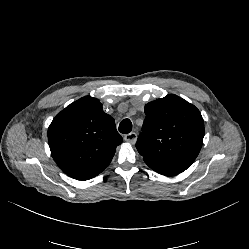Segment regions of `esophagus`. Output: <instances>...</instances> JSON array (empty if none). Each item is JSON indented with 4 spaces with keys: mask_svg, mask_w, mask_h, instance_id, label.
I'll list each match as a JSON object with an SVG mask.
<instances>
[{
    "mask_svg": "<svg viewBox=\"0 0 249 249\" xmlns=\"http://www.w3.org/2000/svg\"><path fill=\"white\" fill-rule=\"evenodd\" d=\"M137 134L135 132H130L126 135H124L123 139L125 142L129 143V144H135L137 141Z\"/></svg>",
    "mask_w": 249,
    "mask_h": 249,
    "instance_id": "34e87169",
    "label": "esophagus"
}]
</instances>
